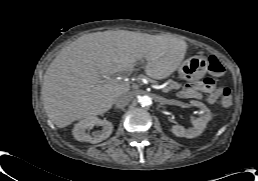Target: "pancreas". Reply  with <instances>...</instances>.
<instances>
[{
	"mask_svg": "<svg viewBox=\"0 0 258 181\" xmlns=\"http://www.w3.org/2000/svg\"><path fill=\"white\" fill-rule=\"evenodd\" d=\"M181 84L177 83V82H174L172 81L168 86H167V89L170 91V90H179L181 88Z\"/></svg>",
	"mask_w": 258,
	"mask_h": 181,
	"instance_id": "1",
	"label": "pancreas"
}]
</instances>
